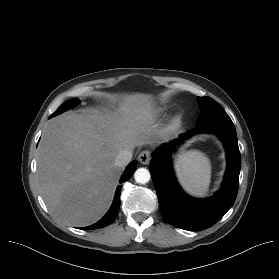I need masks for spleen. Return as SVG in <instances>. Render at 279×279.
Returning <instances> with one entry per match:
<instances>
[{
  "mask_svg": "<svg viewBox=\"0 0 279 279\" xmlns=\"http://www.w3.org/2000/svg\"><path fill=\"white\" fill-rule=\"evenodd\" d=\"M179 182L191 195L203 197L209 188L211 165L209 159L199 151L183 153L176 162Z\"/></svg>",
  "mask_w": 279,
  "mask_h": 279,
  "instance_id": "spleen-1",
  "label": "spleen"
}]
</instances>
